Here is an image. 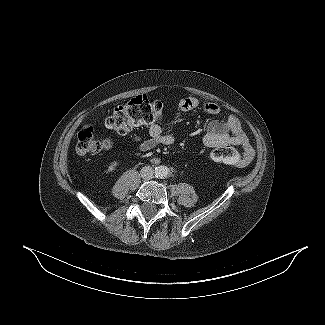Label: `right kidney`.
I'll return each mask as SVG.
<instances>
[{
  "label": "right kidney",
  "instance_id": "ca27d5eb",
  "mask_svg": "<svg viewBox=\"0 0 325 325\" xmlns=\"http://www.w3.org/2000/svg\"><path fill=\"white\" fill-rule=\"evenodd\" d=\"M118 165V163L116 161L112 162L110 164V166L108 167V171H113L115 170L116 166Z\"/></svg>",
  "mask_w": 325,
  "mask_h": 325
}]
</instances>
